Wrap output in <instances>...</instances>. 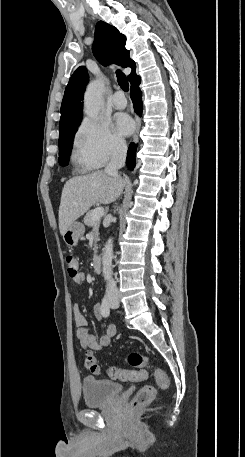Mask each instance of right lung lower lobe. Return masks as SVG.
Returning a JSON list of instances; mask_svg holds the SVG:
<instances>
[{"label":"right lung lower lobe","mask_w":245,"mask_h":457,"mask_svg":"<svg viewBox=\"0 0 245 457\" xmlns=\"http://www.w3.org/2000/svg\"><path fill=\"white\" fill-rule=\"evenodd\" d=\"M131 82V98L133 101L134 109L137 114L141 116L142 114V97H141V91L139 89V84H140V77L134 78ZM135 153H136V146L134 143H131L127 152V159H126V165L129 170H133L135 167Z\"/></svg>","instance_id":"1"}]
</instances>
